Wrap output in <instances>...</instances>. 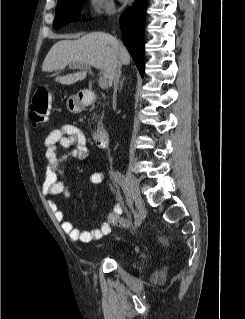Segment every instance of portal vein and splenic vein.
Instances as JSON below:
<instances>
[{"instance_id": "portal-vein-and-splenic-vein-1", "label": "portal vein and splenic vein", "mask_w": 245, "mask_h": 319, "mask_svg": "<svg viewBox=\"0 0 245 319\" xmlns=\"http://www.w3.org/2000/svg\"><path fill=\"white\" fill-rule=\"evenodd\" d=\"M74 67H79L86 70L90 69V66H87V65H74ZM99 86L103 89H106L108 87V82L105 77H102V76L99 77Z\"/></svg>"}]
</instances>
